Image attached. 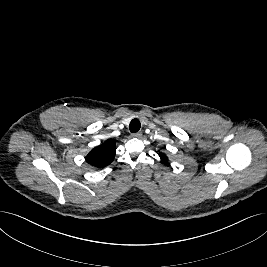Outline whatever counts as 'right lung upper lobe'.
<instances>
[{"mask_svg":"<svg viewBox=\"0 0 267 267\" xmlns=\"http://www.w3.org/2000/svg\"><path fill=\"white\" fill-rule=\"evenodd\" d=\"M115 151V141L107 140L90 151L86 156V162L95 168H103L114 160Z\"/></svg>","mask_w":267,"mask_h":267,"instance_id":"1","label":"right lung upper lobe"}]
</instances>
